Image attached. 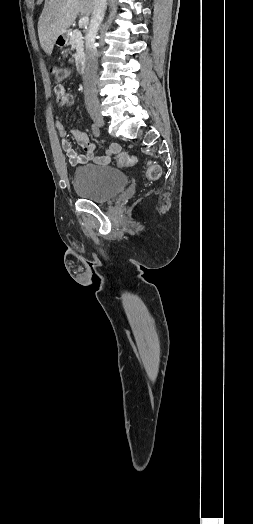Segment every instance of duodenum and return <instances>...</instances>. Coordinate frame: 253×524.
<instances>
[{"label":"duodenum","mask_w":253,"mask_h":524,"mask_svg":"<svg viewBox=\"0 0 253 524\" xmlns=\"http://www.w3.org/2000/svg\"><path fill=\"white\" fill-rule=\"evenodd\" d=\"M75 66H76V70L79 73H84L85 72V61H84L83 58H78L76 60Z\"/></svg>","instance_id":"duodenum-1"}]
</instances>
